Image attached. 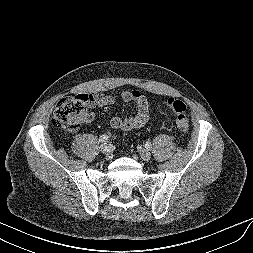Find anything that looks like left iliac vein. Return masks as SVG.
I'll return each instance as SVG.
<instances>
[{"label":"left iliac vein","instance_id":"4c4485c4","mask_svg":"<svg viewBox=\"0 0 253 253\" xmlns=\"http://www.w3.org/2000/svg\"><path fill=\"white\" fill-rule=\"evenodd\" d=\"M140 157L144 160V161H149L151 158V153L146 150V149H141L140 150Z\"/></svg>","mask_w":253,"mask_h":253}]
</instances>
